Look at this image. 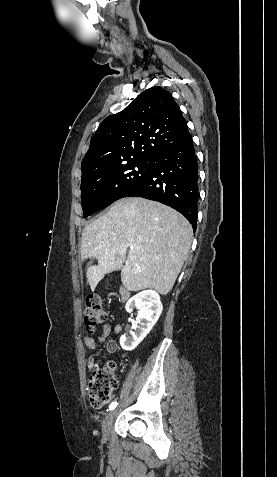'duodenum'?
Returning <instances> with one entry per match:
<instances>
[{
    "label": "duodenum",
    "instance_id": "410a0bca",
    "mask_svg": "<svg viewBox=\"0 0 277 477\" xmlns=\"http://www.w3.org/2000/svg\"><path fill=\"white\" fill-rule=\"evenodd\" d=\"M119 293H120V299L122 302L128 300V298L130 297V292L125 287H121Z\"/></svg>",
    "mask_w": 277,
    "mask_h": 477
}]
</instances>
